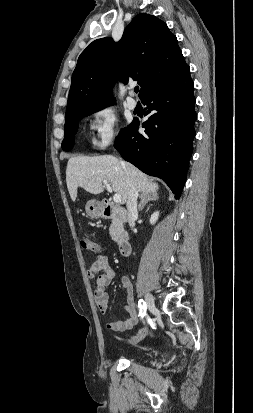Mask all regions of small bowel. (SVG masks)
<instances>
[{
  "label": "small bowel",
  "mask_w": 253,
  "mask_h": 413,
  "mask_svg": "<svg viewBox=\"0 0 253 413\" xmlns=\"http://www.w3.org/2000/svg\"><path fill=\"white\" fill-rule=\"evenodd\" d=\"M88 276L95 281L94 299L100 313L104 314L108 310L109 297L106 287L111 283L115 276V271L109 264L105 255H98L96 260L88 268ZM122 286L126 293L125 310L127 316L122 321L107 322L106 328L115 332H124L132 329L138 322V312L133 299V286L128 276L121 279Z\"/></svg>",
  "instance_id": "1"
}]
</instances>
